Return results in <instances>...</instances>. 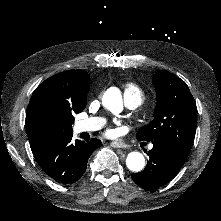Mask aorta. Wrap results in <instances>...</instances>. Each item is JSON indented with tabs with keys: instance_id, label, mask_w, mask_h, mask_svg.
Listing matches in <instances>:
<instances>
[{
	"instance_id": "obj_1",
	"label": "aorta",
	"mask_w": 221,
	"mask_h": 221,
	"mask_svg": "<svg viewBox=\"0 0 221 221\" xmlns=\"http://www.w3.org/2000/svg\"><path fill=\"white\" fill-rule=\"evenodd\" d=\"M104 105L112 112L121 110L122 97L120 92H116L113 96L103 97ZM126 166L132 172H140L145 166V158L140 152H130L126 158Z\"/></svg>"
}]
</instances>
